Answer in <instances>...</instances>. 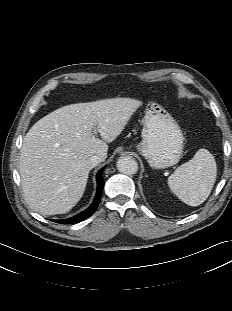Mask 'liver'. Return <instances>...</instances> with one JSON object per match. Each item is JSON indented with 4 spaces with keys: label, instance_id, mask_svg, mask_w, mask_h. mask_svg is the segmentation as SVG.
<instances>
[{
    "label": "liver",
    "instance_id": "liver-1",
    "mask_svg": "<svg viewBox=\"0 0 232 311\" xmlns=\"http://www.w3.org/2000/svg\"><path fill=\"white\" fill-rule=\"evenodd\" d=\"M141 105L131 98L76 103L37 121L24 137L19 163L29 206L42 215L69 212L84 194L86 161L93 155L106 159L107 143L121 134Z\"/></svg>",
    "mask_w": 232,
    "mask_h": 311
}]
</instances>
